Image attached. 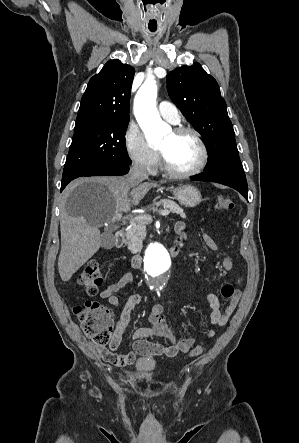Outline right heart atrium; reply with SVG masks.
<instances>
[{
  "label": "right heart atrium",
  "instance_id": "right-heart-atrium-1",
  "mask_svg": "<svg viewBox=\"0 0 299 443\" xmlns=\"http://www.w3.org/2000/svg\"><path fill=\"white\" fill-rule=\"evenodd\" d=\"M123 143L130 160L140 169L153 172L158 164L157 152L146 142L140 128L130 123L123 135Z\"/></svg>",
  "mask_w": 299,
  "mask_h": 443
}]
</instances>
